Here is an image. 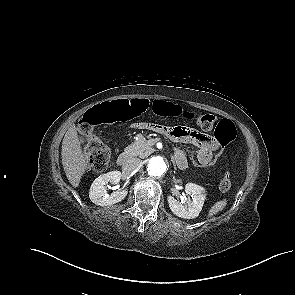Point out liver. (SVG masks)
I'll return each instance as SVG.
<instances>
[{"label":"liver","mask_w":295,"mask_h":295,"mask_svg":"<svg viewBox=\"0 0 295 295\" xmlns=\"http://www.w3.org/2000/svg\"><path fill=\"white\" fill-rule=\"evenodd\" d=\"M62 164L65 174L73 187H78L87 168L85 154L77 135L75 126L71 127L62 142Z\"/></svg>","instance_id":"1"}]
</instances>
